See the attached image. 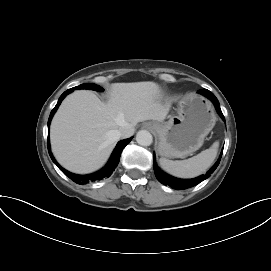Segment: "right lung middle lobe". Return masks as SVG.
<instances>
[{
  "label": "right lung middle lobe",
  "mask_w": 271,
  "mask_h": 271,
  "mask_svg": "<svg viewBox=\"0 0 271 271\" xmlns=\"http://www.w3.org/2000/svg\"><path fill=\"white\" fill-rule=\"evenodd\" d=\"M73 89L74 90L75 89H91V90H96V91H99V92L103 91V88H101L100 86H98L96 84H91V83L82 84V85H79L77 87H74Z\"/></svg>",
  "instance_id": "right-lung-middle-lobe-1"
}]
</instances>
